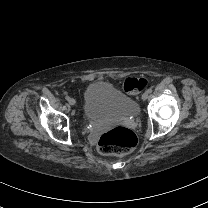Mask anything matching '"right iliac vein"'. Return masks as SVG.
<instances>
[{"instance_id": "63e3f726", "label": "right iliac vein", "mask_w": 208, "mask_h": 208, "mask_svg": "<svg viewBox=\"0 0 208 208\" xmlns=\"http://www.w3.org/2000/svg\"><path fill=\"white\" fill-rule=\"evenodd\" d=\"M75 103H76L75 99L70 98V100H69V104H70V105H75Z\"/></svg>"}]
</instances>
